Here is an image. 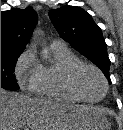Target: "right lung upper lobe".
<instances>
[{"instance_id": "right-lung-upper-lobe-1", "label": "right lung upper lobe", "mask_w": 123, "mask_h": 130, "mask_svg": "<svg viewBox=\"0 0 123 130\" xmlns=\"http://www.w3.org/2000/svg\"><path fill=\"white\" fill-rule=\"evenodd\" d=\"M32 7L1 12V54L22 53L37 23Z\"/></svg>"}]
</instances>
